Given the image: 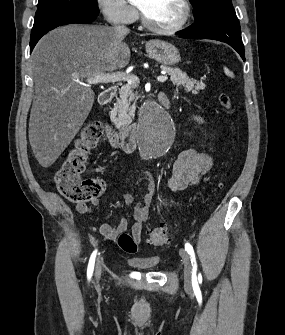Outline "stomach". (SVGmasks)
<instances>
[{
    "label": "stomach",
    "instance_id": "stomach-1",
    "mask_svg": "<svg viewBox=\"0 0 285 335\" xmlns=\"http://www.w3.org/2000/svg\"><path fill=\"white\" fill-rule=\"evenodd\" d=\"M145 48L149 58L156 60L162 66L171 68L180 62V52L173 44L162 42V40H150V42H146Z\"/></svg>",
    "mask_w": 285,
    "mask_h": 335
}]
</instances>
